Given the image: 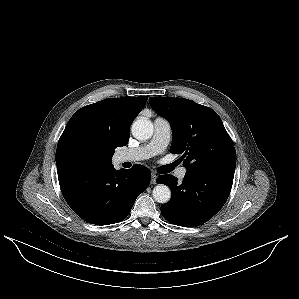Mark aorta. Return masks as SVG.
Returning <instances> with one entry per match:
<instances>
[{
  "instance_id": "1",
  "label": "aorta",
  "mask_w": 299,
  "mask_h": 299,
  "mask_svg": "<svg viewBox=\"0 0 299 299\" xmlns=\"http://www.w3.org/2000/svg\"><path fill=\"white\" fill-rule=\"evenodd\" d=\"M153 124L146 118H138L135 120L131 127L132 135L141 141L149 139L153 134ZM153 198L156 202L164 204L171 198V191L168 186L158 184L152 191Z\"/></svg>"
}]
</instances>
